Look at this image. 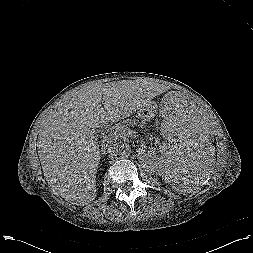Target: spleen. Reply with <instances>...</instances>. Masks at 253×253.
Returning <instances> with one entry per match:
<instances>
[{"label": "spleen", "instance_id": "1", "mask_svg": "<svg viewBox=\"0 0 253 253\" xmlns=\"http://www.w3.org/2000/svg\"><path fill=\"white\" fill-rule=\"evenodd\" d=\"M161 141V167L170 183L182 191L198 188L211 170V143L203 118L186 108L170 111L161 124Z\"/></svg>", "mask_w": 253, "mask_h": 253}]
</instances>
